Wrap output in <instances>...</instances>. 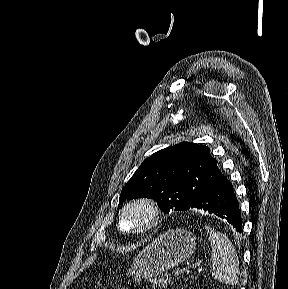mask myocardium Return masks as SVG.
Wrapping results in <instances>:
<instances>
[{"label":"myocardium","instance_id":"1","mask_svg":"<svg viewBox=\"0 0 288 289\" xmlns=\"http://www.w3.org/2000/svg\"><path fill=\"white\" fill-rule=\"evenodd\" d=\"M133 209H141L145 213L144 222L137 228L125 230L122 227L124 215ZM161 217V208L157 201L150 197H137L128 201L120 210L117 219L118 230L125 235H141L152 230L159 222Z\"/></svg>","mask_w":288,"mask_h":289}]
</instances>
